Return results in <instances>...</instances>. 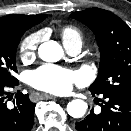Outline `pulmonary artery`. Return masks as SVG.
I'll return each mask as SVG.
<instances>
[{
  "label": "pulmonary artery",
  "instance_id": "obj_1",
  "mask_svg": "<svg viewBox=\"0 0 131 131\" xmlns=\"http://www.w3.org/2000/svg\"><path fill=\"white\" fill-rule=\"evenodd\" d=\"M81 46H82L81 43L75 42V43H72V44L65 45V48L67 49V51L70 54L76 55V54H78L80 52Z\"/></svg>",
  "mask_w": 131,
  "mask_h": 131
}]
</instances>
